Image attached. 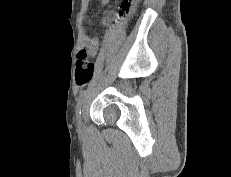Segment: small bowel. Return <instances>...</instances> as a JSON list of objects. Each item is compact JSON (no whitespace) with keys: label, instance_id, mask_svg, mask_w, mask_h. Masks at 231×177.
<instances>
[{"label":"small bowel","instance_id":"1","mask_svg":"<svg viewBox=\"0 0 231 177\" xmlns=\"http://www.w3.org/2000/svg\"><path fill=\"white\" fill-rule=\"evenodd\" d=\"M102 2H107L108 0H101ZM85 49L90 56H94L99 48V41L96 38H90L89 36L84 37Z\"/></svg>","mask_w":231,"mask_h":177}]
</instances>
